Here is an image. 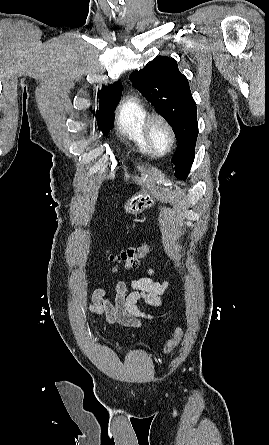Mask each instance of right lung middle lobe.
<instances>
[{
  "instance_id": "dd1d6c3e",
  "label": "right lung middle lobe",
  "mask_w": 269,
  "mask_h": 445,
  "mask_svg": "<svg viewBox=\"0 0 269 445\" xmlns=\"http://www.w3.org/2000/svg\"><path fill=\"white\" fill-rule=\"evenodd\" d=\"M117 103L109 107H99V112L96 113V117H98V127L105 135L108 134L109 130L112 128L113 111L117 106Z\"/></svg>"
}]
</instances>
